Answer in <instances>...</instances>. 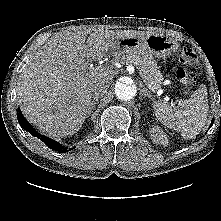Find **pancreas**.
Listing matches in <instances>:
<instances>
[{"label":"pancreas","mask_w":221,"mask_h":221,"mask_svg":"<svg viewBox=\"0 0 221 221\" xmlns=\"http://www.w3.org/2000/svg\"><path fill=\"white\" fill-rule=\"evenodd\" d=\"M121 63L134 65L144 82L151 90L158 89L163 81V76L151 58L144 53L121 52L117 55Z\"/></svg>","instance_id":"1"}]
</instances>
